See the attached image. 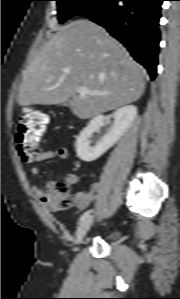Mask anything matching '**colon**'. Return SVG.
<instances>
[{"mask_svg":"<svg viewBox=\"0 0 180 299\" xmlns=\"http://www.w3.org/2000/svg\"><path fill=\"white\" fill-rule=\"evenodd\" d=\"M48 125V115L33 106L24 108L18 118L16 147L23 161L33 162L39 153L38 140ZM73 200L66 183H57L50 192L49 204L52 208L64 210L71 206Z\"/></svg>","mask_w":180,"mask_h":299,"instance_id":"obj_1","label":"colon"}]
</instances>
